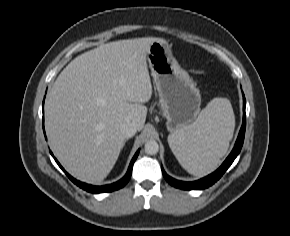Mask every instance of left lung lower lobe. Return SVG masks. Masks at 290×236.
<instances>
[{
    "label": "left lung lower lobe",
    "instance_id": "0a47b994",
    "mask_svg": "<svg viewBox=\"0 0 290 236\" xmlns=\"http://www.w3.org/2000/svg\"><path fill=\"white\" fill-rule=\"evenodd\" d=\"M245 106H246V100L243 95V124L240 129L237 141L230 155L226 158L223 164L215 172L194 182H183V181H179L174 178H171L165 173V171L162 168V173L166 181L176 188H180L184 190H199V189L208 188L209 186L213 185L217 180H219L221 176L225 173V171L231 166V164L233 163V161L235 160V158L238 156V154L241 151L243 141H244V136H245V129H246Z\"/></svg>",
    "mask_w": 290,
    "mask_h": 236
}]
</instances>
